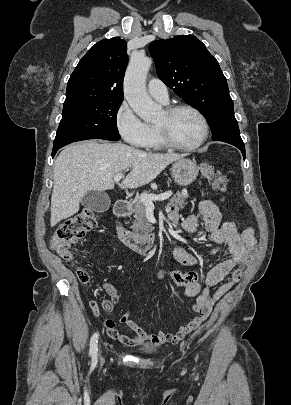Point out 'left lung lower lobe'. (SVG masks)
<instances>
[{
    "instance_id": "obj_1",
    "label": "left lung lower lobe",
    "mask_w": 291,
    "mask_h": 405,
    "mask_svg": "<svg viewBox=\"0 0 291 405\" xmlns=\"http://www.w3.org/2000/svg\"><path fill=\"white\" fill-rule=\"evenodd\" d=\"M222 142L229 143L231 145H234L235 147L239 148L243 154V157L245 159L246 157V152H245V147L243 142H237V141H229V140H223Z\"/></svg>"
}]
</instances>
